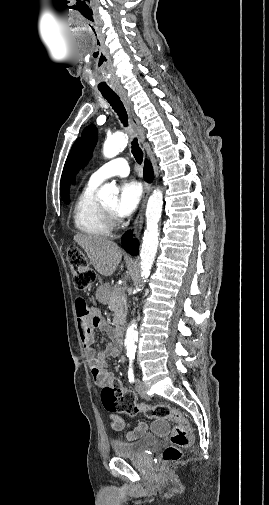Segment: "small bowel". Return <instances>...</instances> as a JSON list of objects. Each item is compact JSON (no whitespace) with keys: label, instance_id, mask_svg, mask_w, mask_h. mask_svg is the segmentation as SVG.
Segmentation results:
<instances>
[{"label":"small bowel","instance_id":"small-bowel-1","mask_svg":"<svg viewBox=\"0 0 269 505\" xmlns=\"http://www.w3.org/2000/svg\"><path fill=\"white\" fill-rule=\"evenodd\" d=\"M85 301L81 298L76 301V313L79 325L81 340L85 349L87 358L91 364V375L98 387L106 386L113 378L112 374L107 369V358L115 356L119 352L117 343L107 344L100 352L95 353L93 348L94 329H98L107 334H113L112 326L107 323L96 308L82 307ZM112 428L116 431H122L125 422L122 417L117 414H110ZM151 428L157 435L164 436L168 433L169 424L166 418L155 420ZM149 425L146 422H139L135 429L127 434L128 439H134L147 433Z\"/></svg>","mask_w":269,"mask_h":505}]
</instances>
